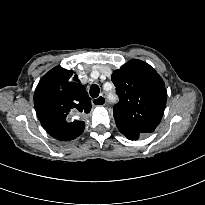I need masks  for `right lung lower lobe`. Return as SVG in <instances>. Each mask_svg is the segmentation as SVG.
Returning <instances> with one entry per match:
<instances>
[{
  "mask_svg": "<svg viewBox=\"0 0 205 205\" xmlns=\"http://www.w3.org/2000/svg\"><path fill=\"white\" fill-rule=\"evenodd\" d=\"M51 136H53L56 132H55V130H52V129H50V130H48L47 131Z\"/></svg>",
  "mask_w": 205,
  "mask_h": 205,
  "instance_id": "right-lung-lower-lobe-1",
  "label": "right lung lower lobe"
}]
</instances>
